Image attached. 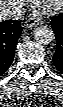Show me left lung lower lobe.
Instances as JSON below:
<instances>
[{"label":"left lung lower lobe","instance_id":"0a47b994","mask_svg":"<svg viewBox=\"0 0 63 107\" xmlns=\"http://www.w3.org/2000/svg\"><path fill=\"white\" fill-rule=\"evenodd\" d=\"M51 27L56 37V50L53 62L55 67L63 74V14L51 19Z\"/></svg>","mask_w":63,"mask_h":107}]
</instances>
